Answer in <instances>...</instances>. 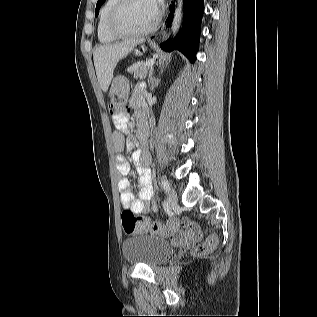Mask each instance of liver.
<instances>
[{
    "instance_id": "6515ba94",
    "label": "liver",
    "mask_w": 317,
    "mask_h": 317,
    "mask_svg": "<svg viewBox=\"0 0 317 317\" xmlns=\"http://www.w3.org/2000/svg\"><path fill=\"white\" fill-rule=\"evenodd\" d=\"M140 42L141 40H127L114 44L100 45L94 49V66L103 92H107L119 60L127 56Z\"/></svg>"
}]
</instances>
